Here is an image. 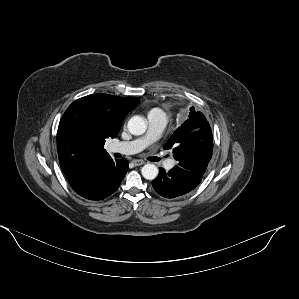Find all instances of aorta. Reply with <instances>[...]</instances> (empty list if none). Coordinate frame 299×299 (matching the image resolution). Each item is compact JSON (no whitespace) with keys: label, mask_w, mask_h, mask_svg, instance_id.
<instances>
[{"label":"aorta","mask_w":299,"mask_h":299,"mask_svg":"<svg viewBox=\"0 0 299 299\" xmlns=\"http://www.w3.org/2000/svg\"><path fill=\"white\" fill-rule=\"evenodd\" d=\"M128 130L133 135H142L147 129V120L141 116H133L127 124ZM142 176L147 180H154L158 176V168L154 164H145Z\"/></svg>","instance_id":"1"}]
</instances>
